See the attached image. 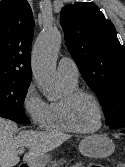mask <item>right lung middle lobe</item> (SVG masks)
I'll return each instance as SVG.
<instances>
[{
	"label": "right lung middle lobe",
	"instance_id": "1",
	"mask_svg": "<svg viewBox=\"0 0 125 167\" xmlns=\"http://www.w3.org/2000/svg\"><path fill=\"white\" fill-rule=\"evenodd\" d=\"M29 85V83L0 81V106L25 114L23 102Z\"/></svg>",
	"mask_w": 125,
	"mask_h": 167
}]
</instances>
